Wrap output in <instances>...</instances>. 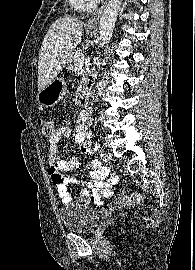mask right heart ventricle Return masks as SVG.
<instances>
[{
	"label": "right heart ventricle",
	"mask_w": 195,
	"mask_h": 270,
	"mask_svg": "<svg viewBox=\"0 0 195 270\" xmlns=\"http://www.w3.org/2000/svg\"><path fill=\"white\" fill-rule=\"evenodd\" d=\"M72 8L78 12H89L94 2L91 0H69Z\"/></svg>",
	"instance_id": "right-heart-ventricle-1"
}]
</instances>
